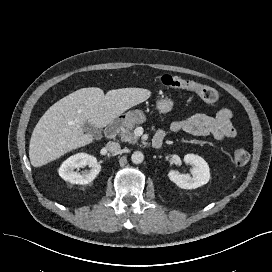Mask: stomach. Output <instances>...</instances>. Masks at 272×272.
Instances as JSON below:
<instances>
[{"instance_id": "obj_1", "label": "stomach", "mask_w": 272, "mask_h": 272, "mask_svg": "<svg viewBox=\"0 0 272 272\" xmlns=\"http://www.w3.org/2000/svg\"><path fill=\"white\" fill-rule=\"evenodd\" d=\"M173 101L170 98H160L157 100L156 108L160 113H168L173 109ZM121 125L127 126L130 124H141L145 122V114L141 110H131L118 117Z\"/></svg>"}]
</instances>
